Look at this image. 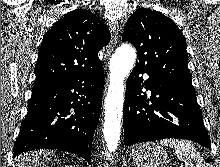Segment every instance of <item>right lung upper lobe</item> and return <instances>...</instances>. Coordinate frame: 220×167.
Listing matches in <instances>:
<instances>
[{
  "label": "right lung upper lobe",
  "instance_id": "cb5924a9",
  "mask_svg": "<svg viewBox=\"0 0 220 167\" xmlns=\"http://www.w3.org/2000/svg\"><path fill=\"white\" fill-rule=\"evenodd\" d=\"M110 38L107 27L92 12L70 11L43 37L32 90L56 86L101 67L98 52Z\"/></svg>",
  "mask_w": 220,
  "mask_h": 167
}]
</instances>
